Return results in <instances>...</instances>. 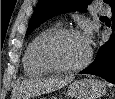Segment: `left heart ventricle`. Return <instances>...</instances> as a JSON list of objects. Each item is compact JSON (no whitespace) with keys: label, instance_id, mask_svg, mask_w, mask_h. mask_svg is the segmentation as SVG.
I'll return each mask as SVG.
<instances>
[{"label":"left heart ventricle","instance_id":"left-heart-ventricle-1","mask_svg":"<svg viewBox=\"0 0 115 99\" xmlns=\"http://www.w3.org/2000/svg\"><path fill=\"white\" fill-rule=\"evenodd\" d=\"M88 52V45L82 36L70 35L56 41L51 47L53 59L63 66L81 63Z\"/></svg>","mask_w":115,"mask_h":99}]
</instances>
